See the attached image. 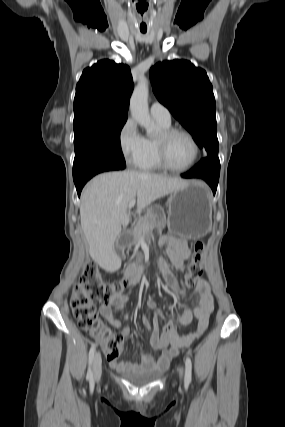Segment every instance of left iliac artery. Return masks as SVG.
Segmentation results:
<instances>
[{
    "label": "left iliac artery",
    "mask_w": 285,
    "mask_h": 427,
    "mask_svg": "<svg viewBox=\"0 0 285 427\" xmlns=\"http://www.w3.org/2000/svg\"><path fill=\"white\" fill-rule=\"evenodd\" d=\"M192 379V362L189 357L185 361V382L190 383Z\"/></svg>",
    "instance_id": "1"
}]
</instances>
